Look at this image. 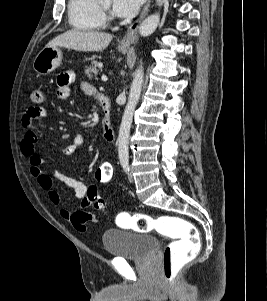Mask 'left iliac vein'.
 <instances>
[{"mask_svg": "<svg viewBox=\"0 0 267 301\" xmlns=\"http://www.w3.org/2000/svg\"><path fill=\"white\" fill-rule=\"evenodd\" d=\"M128 180H129L130 182H134V177H133V174H132L131 171L128 173Z\"/></svg>", "mask_w": 267, "mask_h": 301, "instance_id": "left-iliac-vein-1", "label": "left iliac vein"}]
</instances>
